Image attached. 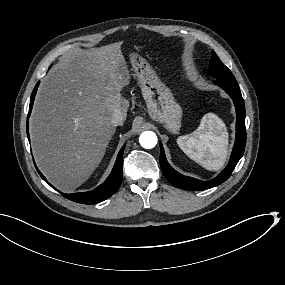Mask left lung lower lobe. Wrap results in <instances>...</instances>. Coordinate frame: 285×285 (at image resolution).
Masks as SVG:
<instances>
[{
    "label": "left lung lower lobe",
    "instance_id": "0a47b994",
    "mask_svg": "<svg viewBox=\"0 0 285 285\" xmlns=\"http://www.w3.org/2000/svg\"><path fill=\"white\" fill-rule=\"evenodd\" d=\"M214 83L223 88L233 99L237 121H236V140L232 151L231 159L227 167L214 179L210 181H201L195 178L184 176L175 171L167 162L162 143L160 142V165L166 179L174 186L180 189L199 191L215 187L226 181L236 164L242 157L246 145V128H245V106L244 101L236 80L223 81L216 79Z\"/></svg>",
    "mask_w": 285,
    "mask_h": 285
}]
</instances>
